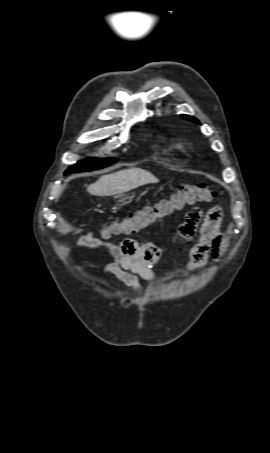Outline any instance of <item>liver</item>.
Segmentation results:
<instances>
[{"label": "liver", "instance_id": "obj_1", "mask_svg": "<svg viewBox=\"0 0 270 453\" xmlns=\"http://www.w3.org/2000/svg\"><path fill=\"white\" fill-rule=\"evenodd\" d=\"M158 182L159 180L150 172L141 168H130L101 176L88 186L87 191L95 196H113Z\"/></svg>", "mask_w": 270, "mask_h": 453}]
</instances>
